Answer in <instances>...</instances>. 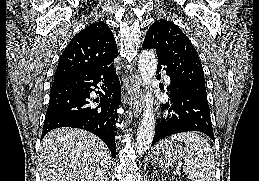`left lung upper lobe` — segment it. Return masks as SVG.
<instances>
[{"instance_id":"left-lung-upper-lobe-1","label":"left lung upper lobe","mask_w":259,"mask_h":181,"mask_svg":"<svg viewBox=\"0 0 259 181\" xmlns=\"http://www.w3.org/2000/svg\"><path fill=\"white\" fill-rule=\"evenodd\" d=\"M143 47L154 48L172 79L207 102L205 79L198 53L188 37L174 23L160 19L149 28Z\"/></svg>"}]
</instances>
